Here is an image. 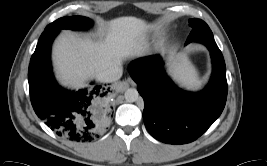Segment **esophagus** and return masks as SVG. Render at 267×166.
I'll return each instance as SVG.
<instances>
[{
    "mask_svg": "<svg viewBox=\"0 0 267 166\" xmlns=\"http://www.w3.org/2000/svg\"><path fill=\"white\" fill-rule=\"evenodd\" d=\"M135 82L132 79H127L125 82H121L118 86L117 89L118 90H125L126 88H128L129 86H135Z\"/></svg>",
    "mask_w": 267,
    "mask_h": 166,
    "instance_id": "34e87169",
    "label": "esophagus"
}]
</instances>
